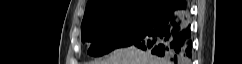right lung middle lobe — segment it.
Returning <instances> with one entry per match:
<instances>
[{
	"label": "right lung middle lobe",
	"mask_w": 242,
	"mask_h": 64,
	"mask_svg": "<svg viewBox=\"0 0 242 64\" xmlns=\"http://www.w3.org/2000/svg\"><path fill=\"white\" fill-rule=\"evenodd\" d=\"M160 17V12L148 9L106 14L82 24L81 39L91 43L89 55L102 56L114 49L133 45Z\"/></svg>",
	"instance_id": "right-lung-middle-lobe-1"
}]
</instances>
